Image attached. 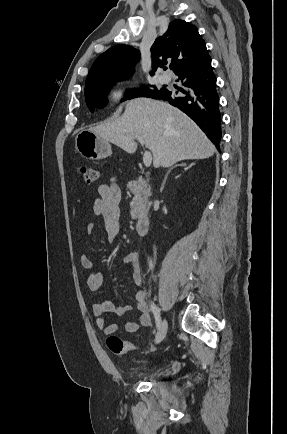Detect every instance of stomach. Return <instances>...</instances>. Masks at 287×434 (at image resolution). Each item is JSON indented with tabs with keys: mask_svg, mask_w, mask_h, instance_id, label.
<instances>
[{
	"mask_svg": "<svg viewBox=\"0 0 287 434\" xmlns=\"http://www.w3.org/2000/svg\"><path fill=\"white\" fill-rule=\"evenodd\" d=\"M75 147L82 157L89 160L104 159L112 154L109 142L90 129H83L77 133Z\"/></svg>",
	"mask_w": 287,
	"mask_h": 434,
	"instance_id": "obj_1",
	"label": "stomach"
}]
</instances>
